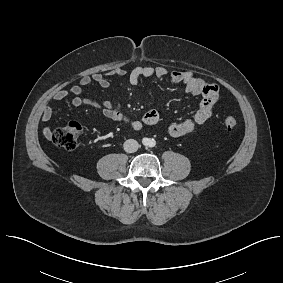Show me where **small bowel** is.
<instances>
[{
  "label": "small bowel",
  "instance_id": "obj_1",
  "mask_svg": "<svg viewBox=\"0 0 283 283\" xmlns=\"http://www.w3.org/2000/svg\"><path fill=\"white\" fill-rule=\"evenodd\" d=\"M109 77L127 78L132 85H137L143 78L169 80L173 84L182 85L188 93L202 96V100L192 118L168 125L167 133L172 137L184 136L203 125L213 115L214 106L220 97L219 87L216 84L196 76L191 71L176 70L169 72L163 66H137L129 71L118 68L106 73L84 76L80 79L79 85H74L69 90H59L54 94L53 98L57 101H62L72 95L71 104L73 106H94L99 108L107 118L122 122L136 131H140L144 126L159 124L161 117L157 110L147 111L139 120L132 119L122 111L121 105L118 103L110 101L95 102L83 96V87L92 84H98L104 89H109L111 87L108 80ZM52 116L53 108L50 105L44 106L41 113L42 121H50ZM44 134L47 136L50 134L49 127L44 129Z\"/></svg>",
  "mask_w": 283,
  "mask_h": 283
}]
</instances>
